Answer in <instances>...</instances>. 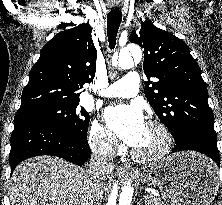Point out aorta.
<instances>
[{"mask_svg": "<svg viewBox=\"0 0 222 205\" xmlns=\"http://www.w3.org/2000/svg\"><path fill=\"white\" fill-rule=\"evenodd\" d=\"M131 52L141 58V50L138 47L123 49L119 55L112 60V64L120 69H130L134 66ZM135 193V183L132 178L127 177L122 184L121 189L115 188L106 203V205H130Z\"/></svg>", "mask_w": 222, "mask_h": 205, "instance_id": "obj_1", "label": "aorta"}]
</instances>
